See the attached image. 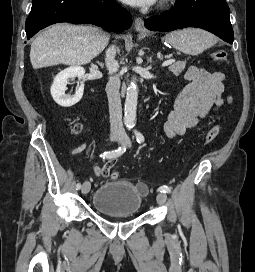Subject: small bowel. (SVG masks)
Segmentation results:
<instances>
[{"instance_id": "obj_1", "label": "small bowel", "mask_w": 255, "mask_h": 272, "mask_svg": "<svg viewBox=\"0 0 255 272\" xmlns=\"http://www.w3.org/2000/svg\"><path fill=\"white\" fill-rule=\"evenodd\" d=\"M184 77L190 84L176 95L173 108L166 114L164 131L170 139L185 134L209 112L231 102V97L225 92L224 73L191 66ZM108 159L103 167H93L96 176L107 178L111 175L115 160Z\"/></svg>"}]
</instances>
